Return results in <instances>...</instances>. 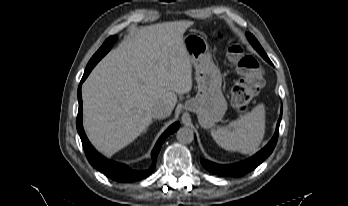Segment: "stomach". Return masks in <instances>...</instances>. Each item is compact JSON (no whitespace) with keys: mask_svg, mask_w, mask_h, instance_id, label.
I'll use <instances>...</instances> for the list:
<instances>
[{"mask_svg":"<svg viewBox=\"0 0 348 206\" xmlns=\"http://www.w3.org/2000/svg\"><path fill=\"white\" fill-rule=\"evenodd\" d=\"M186 52L195 68L198 92L188 109L195 112L200 124L211 127L222 119L227 104L221 92L222 77L209 53L207 42L200 36L191 34L183 38Z\"/></svg>","mask_w":348,"mask_h":206,"instance_id":"stomach-1","label":"stomach"}]
</instances>
